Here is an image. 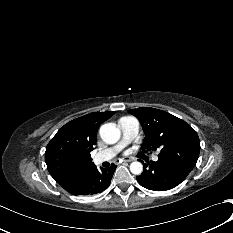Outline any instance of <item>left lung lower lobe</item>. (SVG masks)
Masks as SVG:
<instances>
[{
  "mask_svg": "<svg viewBox=\"0 0 233 233\" xmlns=\"http://www.w3.org/2000/svg\"><path fill=\"white\" fill-rule=\"evenodd\" d=\"M143 163V162H142ZM144 170L137 177L141 186L153 191L170 190L179 185L190 173V171L179 165L158 158L156 162L144 164Z\"/></svg>",
  "mask_w": 233,
  "mask_h": 233,
  "instance_id": "0a47b994",
  "label": "left lung lower lobe"
}]
</instances>
